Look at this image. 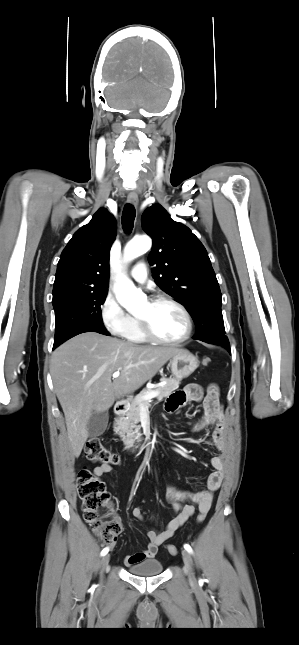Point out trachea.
<instances>
[{"mask_svg":"<svg viewBox=\"0 0 299 645\" xmlns=\"http://www.w3.org/2000/svg\"><path fill=\"white\" fill-rule=\"evenodd\" d=\"M135 215L136 211L133 205L127 204L122 213V225L126 233H130L132 231Z\"/></svg>","mask_w":299,"mask_h":645,"instance_id":"1","label":"trachea"}]
</instances>
